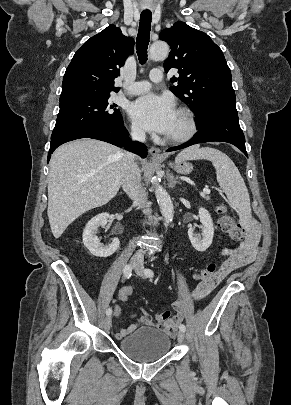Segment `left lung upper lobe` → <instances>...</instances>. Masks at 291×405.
Here are the masks:
<instances>
[{"label": "left lung upper lobe", "instance_id": "obj_1", "mask_svg": "<svg viewBox=\"0 0 291 405\" xmlns=\"http://www.w3.org/2000/svg\"><path fill=\"white\" fill-rule=\"evenodd\" d=\"M159 37L171 47L165 71L175 68L179 73L170 80L178 85L170 89L193 110L198 128L217 109L236 110L231 71L222 50L206 33L179 21Z\"/></svg>", "mask_w": 291, "mask_h": 405}]
</instances>
